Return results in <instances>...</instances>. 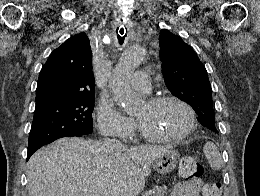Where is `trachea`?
Segmentation results:
<instances>
[{"instance_id": "trachea-1", "label": "trachea", "mask_w": 260, "mask_h": 196, "mask_svg": "<svg viewBox=\"0 0 260 196\" xmlns=\"http://www.w3.org/2000/svg\"><path fill=\"white\" fill-rule=\"evenodd\" d=\"M119 43L122 45V43H123V40H122V41H119Z\"/></svg>"}]
</instances>
